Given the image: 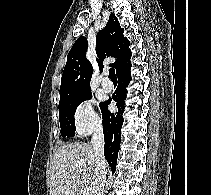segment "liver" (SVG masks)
<instances>
[{
  "label": "liver",
  "instance_id": "liver-1",
  "mask_svg": "<svg viewBox=\"0 0 211 195\" xmlns=\"http://www.w3.org/2000/svg\"><path fill=\"white\" fill-rule=\"evenodd\" d=\"M95 169L91 144H61L52 160L50 195H92Z\"/></svg>",
  "mask_w": 211,
  "mask_h": 195
}]
</instances>
